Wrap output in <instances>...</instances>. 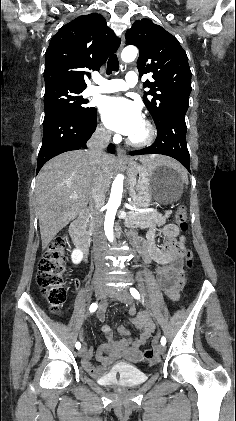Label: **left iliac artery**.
<instances>
[{
  "label": "left iliac artery",
  "instance_id": "44dca946",
  "mask_svg": "<svg viewBox=\"0 0 236 421\" xmlns=\"http://www.w3.org/2000/svg\"><path fill=\"white\" fill-rule=\"evenodd\" d=\"M130 293L135 299L140 300V294L135 288H130ZM161 344L163 346L166 344V338L164 336L161 338Z\"/></svg>",
  "mask_w": 236,
  "mask_h": 421
}]
</instances>
